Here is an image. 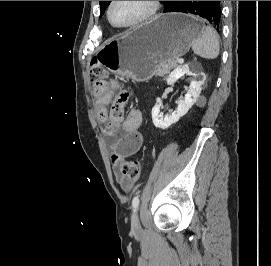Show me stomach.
Returning <instances> with one entry per match:
<instances>
[{
	"label": "stomach",
	"mask_w": 271,
	"mask_h": 266,
	"mask_svg": "<svg viewBox=\"0 0 271 266\" xmlns=\"http://www.w3.org/2000/svg\"><path fill=\"white\" fill-rule=\"evenodd\" d=\"M201 33L199 20L189 14L169 13L122 36L107 41L97 54L100 64L110 72L143 82L155 75L167 60L185 55Z\"/></svg>",
	"instance_id": "stomach-1"
}]
</instances>
